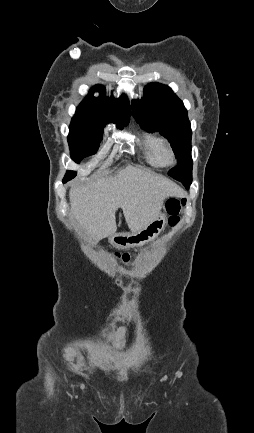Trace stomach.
<instances>
[{
    "label": "stomach",
    "instance_id": "stomach-1",
    "mask_svg": "<svg viewBox=\"0 0 254 433\" xmlns=\"http://www.w3.org/2000/svg\"><path fill=\"white\" fill-rule=\"evenodd\" d=\"M166 225V215L159 213L145 228L132 233H115L109 237L110 243L117 248L142 246L155 240Z\"/></svg>",
    "mask_w": 254,
    "mask_h": 433
}]
</instances>
